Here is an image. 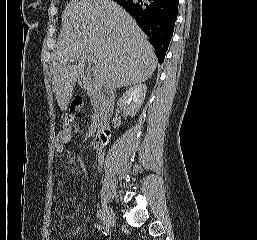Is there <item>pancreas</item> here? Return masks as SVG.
I'll list each match as a JSON object with an SVG mask.
<instances>
[{"instance_id": "1", "label": "pancreas", "mask_w": 257, "mask_h": 240, "mask_svg": "<svg viewBox=\"0 0 257 240\" xmlns=\"http://www.w3.org/2000/svg\"><path fill=\"white\" fill-rule=\"evenodd\" d=\"M88 96L91 99V105L94 110L95 117L100 119L106 115L110 108V103L104 93L101 90L90 87L88 89Z\"/></svg>"}]
</instances>
